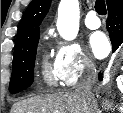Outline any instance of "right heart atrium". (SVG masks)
<instances>
[{
    "label": "right heart atrium",
    "instance_id": "obj_1",
    "mask_svg": "<svg viewBox=\"0 0 123 113\" xmlns=\"http://www.w3.org/2000/svg\"><path fill=\"white\" fill-rule=\"evenodd\" d=\"M53 67L59 83L70 87L83 74L94 70V62L79 44L58 41Z\"/></svg>",
    "mask_w": 123,
    "mask_h": 113
}]
</instances>
